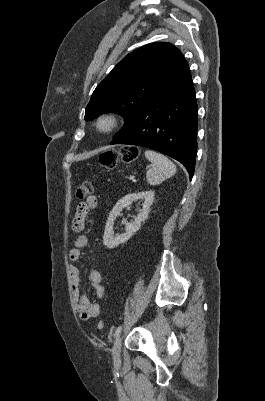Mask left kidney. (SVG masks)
Returning <instances> with one entry per match:
<instances>
[{
  "instance_id": "5707ae66",
  "label": "left kidney",
  "mask_w": 265,
  "mask_h": 401,
  "mask_svg": "<svg viewBox=\"0 0 265 401\" xmlns=\"http://www.w3.org/2000/svg\"><path fill=\"white\" fill-rule=\"evenodd\" d=\"M138 198H142V201H144V203L142 205L141 211H139L137 217H135V221H133V223H126V233H123V235H114L113 227L116 217L120 215V211H122L124 207H130L133 201H138ZM153 201V190L132 192V194H126V196L120 198V201L116 203L111 213H109L103 237V245H105L107 249H115V247H118V245H121V243H126V241H128V239H130V237H132V235H134L136 231H139L141 223H143V221L147 219Z\"/></svg>"
}]
</instances>
